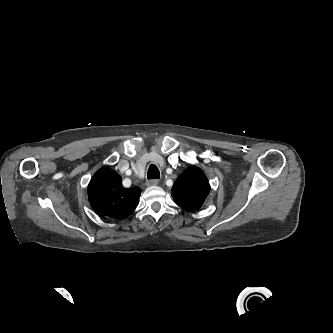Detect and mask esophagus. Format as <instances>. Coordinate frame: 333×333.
<instances>
[{
    "mask_svg": "<svg viewBox=\"0 0 333 333\" xmlns=\"http://www.w3.org/2000/svg\"><path fill=\"white\" fill-rule=\"evenodd\" d=\"M159 181L157 179H150L146 182L147 186H156L158 185Z\"/></svg>",
    "mask_w": 333,
    "mask_h": 333,
    "instance_id": "obj_1",
    "label": "esophagus"
}]
</instances>
